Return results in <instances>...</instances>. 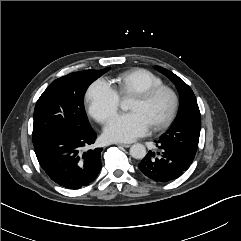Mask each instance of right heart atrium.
<instances>
[{"instance_id":"obj_1","label":"right heart atrium","mask_w":241,"mask_h":241,"mask_svg":"<svg viewBox=\"0 0 241 241\" xmlns=\"http://www.w3.org/2000/svg\"><path fill=\"white\" fill-rule=\"evenodd\" d=\"M88 111L98 122L104 123L118 110L120 96L116 89L105 79L95 80L86 93Z\"/></svg>"}]
</instances>
